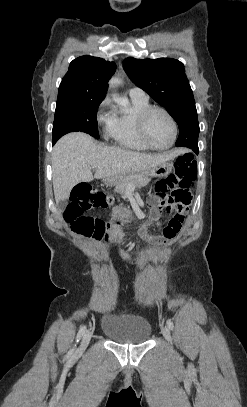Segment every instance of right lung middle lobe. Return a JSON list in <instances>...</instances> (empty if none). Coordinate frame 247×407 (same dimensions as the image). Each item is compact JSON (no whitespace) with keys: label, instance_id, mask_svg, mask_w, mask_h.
<instances>
[{"label":"right lung middle lobe","instance_id":"1","mask_svg":"<svg viewBox=\"0 0 247 407\" xmlns=\"http://www.w3.org/2000/svg\"><path fill=\"white\" fill-rule=\"evenodd\" d=\"M103 99L57 100L53 123V143L66 133L82 131L99 139L97 110Z\"/></svg>","mask_w":247,"mask_h":407}]
</instances>
